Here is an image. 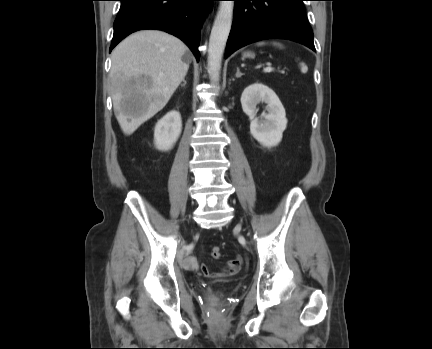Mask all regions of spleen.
<instances>
[{"label": "spleen", "mask_w": 432, "mask_h": 349, "mask_svg": "<svg viewBox=\"0 0 432 349\" xmlns=\"http://www.w3.org/2000/svg\"><path fill=\"white\" fill-rule=\"evenodd\" d=\"M262 44H263V42L259 43V45H262ZM274 44L281 46L280 44H277V43H274ZM300 67H301L302 73H306L308 71V67L304 63H301Z\"/></svg>", "instance_id": "spleen-1"}]
</instances>
